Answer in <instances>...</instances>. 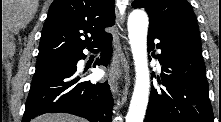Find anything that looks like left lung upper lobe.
I'll return each instance as SVG.
<instances>
[{"label": "left lung upper lobe", "instance_id": "left-lung-upper-lobe-1", "mask_svg": "<svg viewBox=\"0 0 221 122\" xmlns=\"http://www.w3.org/2000/svg\"><path fill=\"white\" fill-rule=\"evenodd\" d=\"M133 8H145L150 25L174 35L199 40V28L194 12L186 0H135Z\"/></svg>", "mask_w": 221, "mask_h": 122}]
</instances>
